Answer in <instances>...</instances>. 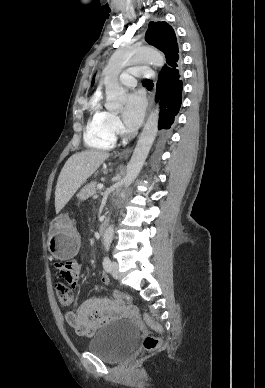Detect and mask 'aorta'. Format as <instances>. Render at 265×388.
I'll return each instance as SVG.
<instances>
[{"mask_svg": "<svg viewBox=\"0 0 265 388\" xmlns=\"http://www.w3.org/2000/svg\"><path fill=\"white\" fill-rule=\"evenodd\" d=\"M135 63H150L162 68L165 64L164 56L152 48H136L131 50L116 51L104 69V84L106 88V107L108 109H118L123 106L126 100V92L120 86L118 76L122 69ZM159 121V107L150 113L144 129L139 137L132 157L127 165L124 187L127 188L138 176L148 153L155 140ZM114 237L113 225H110L104 233V245L109 246Z\"/></svg>", "mask_w": 265, "mask_h": 388, "instance_id": "aorta-1", "label": "aorta"}]
</instances>
